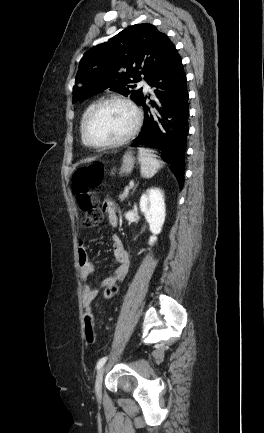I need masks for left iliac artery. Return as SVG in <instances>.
I'll list each match as a JSON object with an SVG mask.
<instances>
[{
    "label": "left iliac artery",
    "mask_w": 264,
    "mask_h": 433,
    "mask_svg": "<svg viewBox=\"0 0 264 433\" xmlns=\"http://www.w3.org/2000/svg\"><path fill=\"white\" fill-rule=\"evenodd\" d=\"M106 360H107V356L101 358V359L98 361L97 366H96L97 370H99V369L104 365V363L106 362Z\"/></svg>",
    "instance_id": "obj_1"
}]
</instances>
